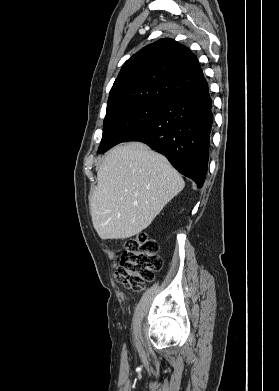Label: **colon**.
Returning a JSON list of instances; mask_svg holds the SVG:
<instances>
[{"mask_svg":"<svg viewBox=\"0 0 279 391\" xmlns=\"http://www.w3.org/2000/svg\"><path fill=\"white\" fill-rule=\"evenodd\" d=\"M158 250V243L145 233L125 240L121 261L114 273L115 280L129 290L141 291L162 269L163 260Z\"/></svg>","mask_w":279,"mask_h":391,"instance_id":"obj_1","label":"colon"}]
</instances>
